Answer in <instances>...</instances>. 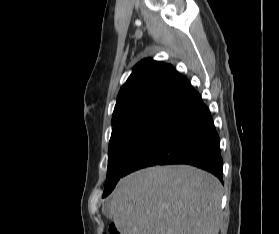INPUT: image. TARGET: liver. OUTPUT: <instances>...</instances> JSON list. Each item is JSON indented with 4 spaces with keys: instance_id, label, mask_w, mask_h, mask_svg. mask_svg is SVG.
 Here are the masks:
<instances>
[{
    "instance_id": "liver-1",
    "label": "liver",
    "mask_w": 279,
    "mask_h": 234,
    "mask_svg": "<svg viewBox=\"0 0 279 234\" xmlns=\"http://www.w3.org/2000/svg\"><path fill=\"white\" fill-rule=\"evenodd\" d=\"M222 185L188 165L155 166L122 178L105 207L120 234H218Z\"/></svg>"
}]
</instances>
